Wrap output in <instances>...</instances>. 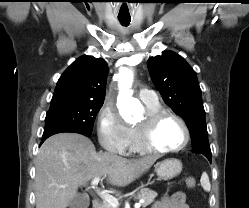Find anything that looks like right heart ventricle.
<instances>
[{
    "label": "right heart ventricle",
    "mask_w": 249,
    "mask_h": 208,
    "mask_svg": "<svg viewBox=\"0 0 249 208\" xmlns=\"http://www.w3.org/2000/svg\"><path fill=\"white\" fill-rule=\"evenodd\" d=\"M146 107H147V113H155L161 110L159 104L157 106H146ZM128 151L131 153H141V150L139 149L137 144L136 127L129 128Z\"/></svg>",
    "instance_id": "e07e8e85"
}]
</instances>
